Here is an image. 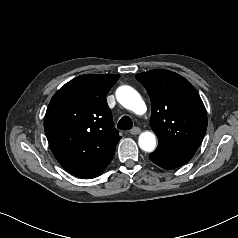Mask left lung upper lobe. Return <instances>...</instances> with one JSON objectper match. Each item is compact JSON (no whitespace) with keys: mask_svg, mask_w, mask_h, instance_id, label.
Returning <instances> with one entry per match:
<instances>
[{"mask_svg":"<svg viewBox=\"0 0 238 238\" xmlns=\"http://www.w3.org/2000/svg\"><path fill=\"white\" fill-rule=\"evenodd\" d=\"M135 77L150 96V126L159 145L194 155L207 129L206 110L196 89L168 70H152Z\"/></svg>","mask_w":238,"mask_h":238,"instance_id":"5c2ea615","label":"left lung upper lobe"}]
</instances>
